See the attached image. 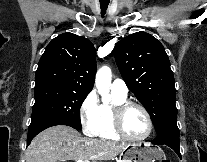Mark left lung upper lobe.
Instances as JSON below:
<instances>
[{"mask_svg":"<svg viewBox=\"0 0 207 162\" xmlns=\"http://www.w3.org/2000/svg\"><path fill=\"white\" fill-rule=\"evenodd\" d=\"M128 88L151 115L156 132L177 125L175 82L163 45L146 32L121 39L114 48Z\"/></svg>","mask_w":207,"mask_h":162,"instance_id":"left-lung-upper-lobe-1","label":"left lung upper lobe"}]
</instances>
